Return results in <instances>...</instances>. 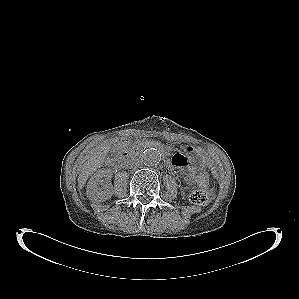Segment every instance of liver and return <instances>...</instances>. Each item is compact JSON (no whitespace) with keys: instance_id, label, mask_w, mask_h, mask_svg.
Masks as SVG:
<instances>
[{"instance_id":"liver-1","label":"liver","mask_w":299,"mask_h":299,"mask_svg":"<svg viewBox=\"0 0 299 299\" xmlns=\"http://www.w3.org/2000/svg\"><path fill=\"white\" fill-rule=\"evenodd\" d=\"M110 144L111 142L103 143V145H101L99 149L84 163L78 176L79 189H82L89 176L103 165L106 155L110 149Z\"/></svg>"}]
</instances>
